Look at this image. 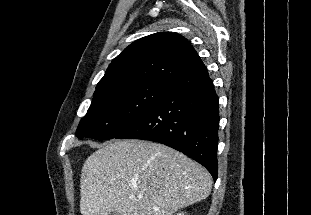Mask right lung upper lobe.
<instances>
[{"instance_id":"cb5924a9","label":"right lung upper lobe","mask_w":311,"mask_h":215,"mask_svg":"<svg viewBox=\"0 0 311 215\" xmlns=\"http://www.w3.org/2000/svg\"><path fill=\"white\" fill-rule=\"evenodd\" d=\"M203 66L186 38L173 32L155 33L125 48L111 62L94 93L125 84H170Z\"/></svg>"}]
</instances>
